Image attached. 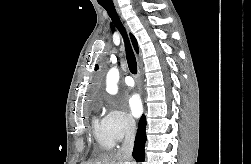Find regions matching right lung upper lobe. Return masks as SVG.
Returning <instances> with one entry per match:
<instances>
[{
    "mask_svg": "<svg viewBox=\"0 0 251 164\" xmlns=\"http://www.w3.org/2000/svg\"><path fill=\"white\" fill-rule=\"evenodd\" d=\"M130 37H131L135 51L138 52V45H137V41H136L135 37L132 34H130Z\"/></svg>",
    "mask_w": 251,
    "mask_h": 164,
    "instance_id": "right-lung-upper-lobe-1",
    "label": "right lung upper lobe"
}]
</instances>
